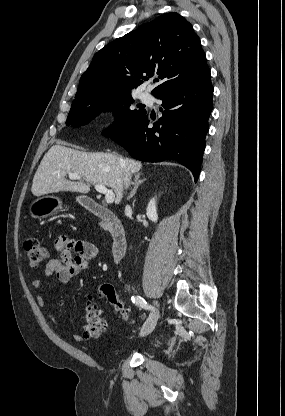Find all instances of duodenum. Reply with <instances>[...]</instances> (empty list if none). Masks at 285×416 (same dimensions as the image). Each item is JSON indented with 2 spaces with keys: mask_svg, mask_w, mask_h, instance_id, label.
<instances>
[{
  "mask_svg": "<svg viewBox=\"0 0 285 416\" xmlns=\"http://www.w3.org/2000/svg\"><path fill=\"white\" fill-rule=\"evenodd\" d=\"M80 204L81 206H87L92 214L99 217L104 222L112 239L113 259L116 262H119L126 252L127 238L125 230L117 216L103 205L96 203L94 197H81Z\"/></svg>",
  "mask_w": 285,
  "mask_h": 416,
  "instance_id": "duodenum-1",
  "label": "duodenum"
}]
</instances>
